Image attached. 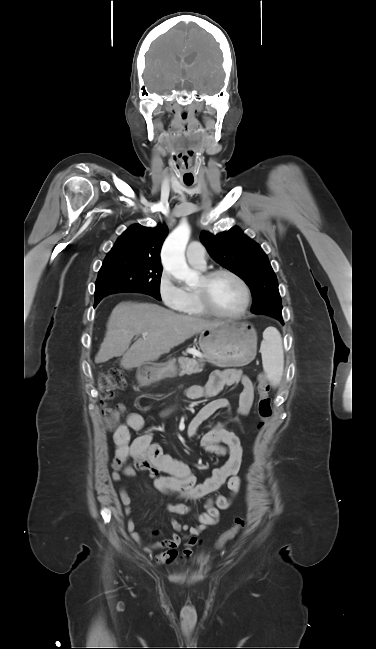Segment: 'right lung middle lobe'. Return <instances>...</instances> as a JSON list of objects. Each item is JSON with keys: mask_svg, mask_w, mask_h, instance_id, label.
Segmentation results:
<instances>
[{"mask_svg": "<svg viewBox=\"0 0 376 649\" xmlns=\"http://www.w3.org/2000/svg\"><path fill=\"white\" fill-rule=\"evenodd\" d=\"M161 265L134 255L106 256L95 284V306L108 294L139 292L161 300Z\"/></svg>", "mask_w": 376, "mask_h": 649, "instance_id": "dd1d6c3e", "label": "right lung middle lobe"}]
</instances>
